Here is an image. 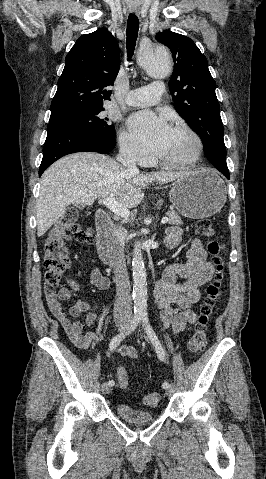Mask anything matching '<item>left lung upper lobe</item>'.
Instances as JSON below:
<instances>
[{"label":"left lung upper lobe","instance_id":"1","mask_svg":"<svg viewBox=\"0 0 266 479\" xmlns=\"http://www.w3.org/2000/svg\"><path fill=\"white\" fill-rule=\"evenodd\" d=\"M156 40L172 52L174 71L169 89L176 111L200 136L205 154L216 169L228 170L216 83L206 57L187 36L163 31L156 34Z\"/></svg>","mask_w":266,"mask_h":479}]
</instances>
